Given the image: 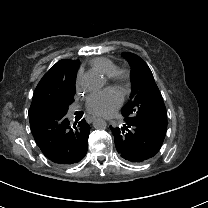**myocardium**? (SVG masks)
<instances>
[{
  "label": "myocardium",
  "mask_w": 208,
  "mask_h": 208,
  "mask_svg": "<svg viewBox=\"0 0 208 208\" xmlns=\"http://www.w3.org/2000/svg\"><path fill=\"white\" fill-rule=\"evenodd\" d=\"M129 78V71L122 69L116 72L113 76V80L119 83L121 86H124Z\"/></svg>",
  "instance_id": "obj_1"
}]
</instances>
